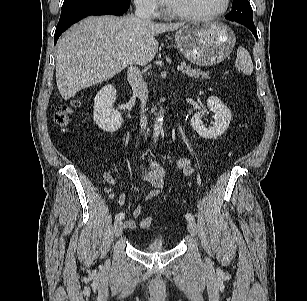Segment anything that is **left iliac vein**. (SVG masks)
<instances>
[{
	"label": "left iliac vein",
	"mask_w": 307,
	"mask_h": 301,
	"mask_svg": "<svg viewBox=\"0 0 307 301\" xmlns=\"http://www.w3.org/2000/svg\"><path fill=\"white\" fill-rule=\"evenodd\" d=\"M187 228L191 235L195 236L197 234V227L194 221H189Z\"/></svg>",
	"instance_id": "obj_1"
}]
</instances>
